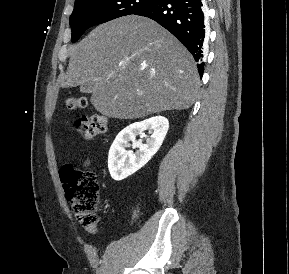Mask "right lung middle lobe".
Masks as SVG:
<instances>
[{"label":"right lung middle lobe","mask_w":289,"mask_h":274,"mask_svg":"<svg viewBox=\"0 0 289 274\" xmlns=\"http://www.w3.org/2000/svg\"><path fill=\"white\" fill-rule=\"evenodd\" d=\"M156 0H76L70 16L72 42L90 27L118 17L136 14Z\"/></svg>","instance_id":"obj_1"}]
</instances>
